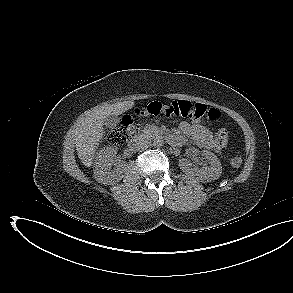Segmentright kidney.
<instances>
[{"label": "right kidney", "instance_id": "obj_1", "mask_svg": "<svg viewBox=\"0 0 293 293\" xmlns=\"http://www.w3.org/2000/svg\"><path fill=\"white\" fill-rule=\"evenodd\" d=\"M116 154L117 149L111 146L104 147L97 153L94 177L99 183L109 185L120 180L126 164L124 161L115 160Z\"/></svg>", "mask_w": 293, "mask_h": 293}]
</instances>
